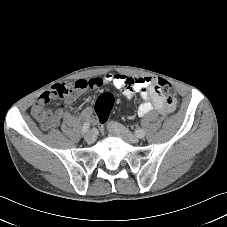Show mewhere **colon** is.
I'll use <instances>...</instances> for the list:
<instances>
[{"label": "colon", "mask_w": 227, "mask_h": 227, "mask_svg": "<svg viewBox=\"0 0 227 227\" xmlns=\"http://www.w3.org/2000/svg\"><path fill=\"white\" fill-rule=\"evenodd\" d=\"M159 86L164 94L166 95L173 94V88L167 81L161 80L159 82ZM113 104L114 98L111 93L104 92L98 96L95 103V112L98 120L101 123H104L108 119Z\"/></svg>", "instance_id": "colon-1"}]
</instances>
